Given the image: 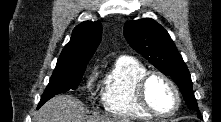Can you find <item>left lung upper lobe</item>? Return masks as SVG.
Listing matches in <instances>:
<instances>
[{
    "label": "left lung upper lobe",
    "mask_w": 221,
    "mask_h": 122,
    "mask_svg": "<svg viewBox=\"0 0 221 122\" xmlns=\"http://www.w3.org/2000/svg\"><path fill=\"white\" fill-rule=\"evenodd\" d=\"M124 35L132 48L173 79L187 106L197 110L190 73L167 31L153 19L144 18L127 22Z\"/></svg>",
    "instance_id": "left-lung-upper-lobe-1"
}]
</instances>
